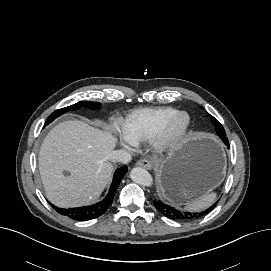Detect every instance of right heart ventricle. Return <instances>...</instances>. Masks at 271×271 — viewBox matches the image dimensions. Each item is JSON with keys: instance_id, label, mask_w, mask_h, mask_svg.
<instances>
[{"instance_id": "right-heart-ventricle-1", "label": "right heart ventricle", "mask_w": 271, "mask_h": 271, "mask_svg": "<svg viewBox=\"0 0 271 271\" xmlns=\"http://www.w3.org/2000/svg\"><path fill=\"white\" fill-rule=\"evenodd\" d=\"M177 112L171 107L142 108L128 114L122 122L125 138L133 144L153 138Z\"/></svg>"}]
</instances>
